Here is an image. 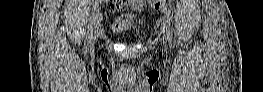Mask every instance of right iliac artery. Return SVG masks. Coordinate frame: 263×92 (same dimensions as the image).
Instances as JSON below:
<instances>
[{"mask_svg":"<svg viewBox=\"0 0 263 92\" xmlns=\"http://www.w3.org/2000/svg\"><path fill=\"white\" fill-rule=\"evenodd\" d=\"M98 4H100V1H96V3L93 4L92 10H93V18H92V22L89 28V32L88 35L86 37V43H85V48L88 49L89 48V42H90V38L92 35V31L93 29H96V26L98 25V19H100V7L98 6Z\"/></svg>","mask_w":263,"mask_h":92,"instance_id":"obj_1","label":"right iliac artery"}]
</instances>
